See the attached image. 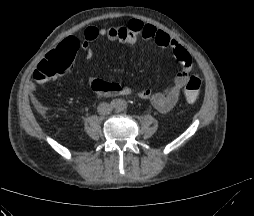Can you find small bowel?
<instances>
[{
  "label": "small bowel",
  "instance_id": "small-bowel-1",
  "mask_svg": "<svg viewBox=\"0 0 254 216\" xmlns=\"http://www.w3.org/2000/svg\"><path fill=\"white\" fill-rule=\"evenodd\" d=\"M98 38L120 41L126 45H134L139 38L154 41L159 46L168 49L173 53L174 57L181 64V69L175 75L172 82L158 92L136 90L128 85L106 82L98 79H94L91 82L93 91L104 96L129 95L136 93L140 97L149 100L152 105L162 113L170 111L176 105L191 71L192 60L185 48L175 39L152 25L143 24L138 20H132L125 26H110L106 28L89 26L84 31L85 41L83 43H80L77 38L70 36L60 42L55 49L59 50L64 48L71 53L82 49L86 52L87 56H90L91 53L87 43ZM34 78L32 87H35L36 84H40L35 76Z\"/></svg>",
  "mask_w": 254,
  "mask_h": 216
}]
</instances>
